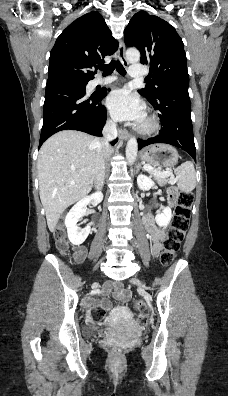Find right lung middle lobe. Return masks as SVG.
<instances>
[{"label":"right lung middle lobe","instance_id":"1","mask_svg":"<svg viewBox=\"0 0 228 396\" xmlns=\"http://www.w3.org/2000/svg\"><path fill=\"white\" fill-rule=\"evenodd\" d=\"M87 83L88 82L65 83V85H71L85 91Z\"/></svg>","mask_w":228,"mask_h":396}]
</instances>
